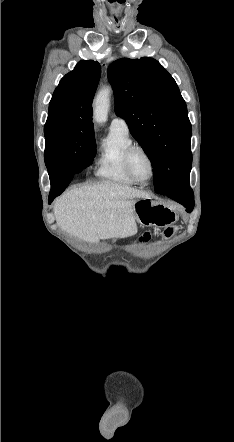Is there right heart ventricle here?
Returning a JSON list of instances; mask_svg holds the SVG:
<instances>
[{"instance_id":"right-heart-ventricle-1","label":"right heart ventricle","mask_w":234,"mask_h":442,"mask_svg":"<svg viewBox=\"0 0 234 442\" xmlns=\"http://www.w3.org/2000/svg\"><path fill=\"white\" fill-rule=\"evenodd\" d=\"M134 145L128 130L111 128L100 147L95 174L102 180L122 185H134L124 166L126 150Z\"/></svg>"}]
</instances>
